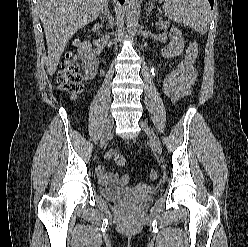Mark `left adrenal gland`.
Masks as SVG:
<instances>
[{
  "label": "left adrenal gland",
  "instance_id": "left-adrenal-gland-1",
  "mask_svg": "<svg viewBox=\"0 0 248 247\" xmlns=\"http://www.w3.org/2000/svg\"><path fill=\"white\" fill-rule=\"evenodd\" d=\"M155 8L154 4L150 3L147 8V14Z\"/></svg>",
  "mask_w": 248,
  "mask_h": 247
}]
</instances>
